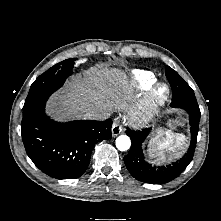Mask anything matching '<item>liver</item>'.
Segmentation results:
<instances>
[{
  "instance_id": "6515ba94",
  "label": "liver",
  "mask_w": 221,
  "mask_h": 221,
  "mask_svg": "<svg viewBox=\"0 0 221 221\" xmlns=\"http://www.w3.org/2000/svg\"><path fill=\"white\" fill-rule=\"evenodd\" d=\"M131 86L118 69L91 67L56 93L48 102V111L59 119L88 117L90 111L107 118L114 109L126 105Z\"/></svg>"
}]
</instances>
